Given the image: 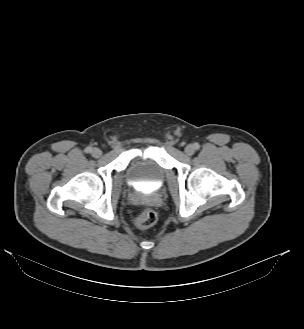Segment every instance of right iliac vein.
<instances>
[{
	"mask_svg": "<svg viewBox=\"0 0 304 329\" xmlns=\"http://www.w3.org/2000/svg\"><path fill=\"white\" fill-rule=\"evenodd\" d=\"M91 154L95 158H99L102 155V151L99 148H93Z\"/></svg>",
	"mask_w": 304,
	"mask_h": 329,
	"instance_id": "obj_1",
	"label": "right iliac vein"
}]
</instances>
